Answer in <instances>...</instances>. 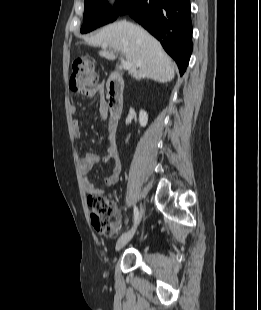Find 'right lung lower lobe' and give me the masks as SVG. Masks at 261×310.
Listing matches in <instances>:
<instances>
[{
    "label": "right lung lower lobe",
    "mask_w": 261,
    "mask_h": 310,
    "mask_svg": "<svg viewBox=\"0 0 261 310\" xmlns=\"http://www.w3.org/2000/svg\"><path fill=\"white\" fill-rule=\"evenodd\" d=\"M119 14H129L160 40L183 75L192 52L189 0H129Z\"/></svg>",
    "instance_id": "obj_1"
}]
</instances>
